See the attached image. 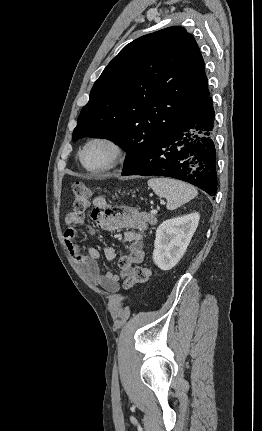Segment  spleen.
Wrapping results in <instances>:
<instances>
[{
  "label": "spleen",
  "instance_id": "1",
  "mask_svg": "<svg viewBox=\"0 0 262 431\" xmlns=\"http://www.w3.org/2000/svg\"><path fill=\"white\" fill-rule=\"evenodd\" d=\"M147 183L157 196L167 199L168 210H174L197 196V190L192 185L179 180L155 177Z\"/></svg>",
  "mask_w": 262,
  "mask_h": 431
}]
</instances>
